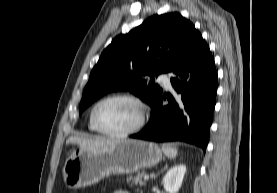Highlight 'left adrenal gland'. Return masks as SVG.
Wrapping results in <instances>:
<instances>
[{"instance_id": "left-adrenal-gland-1", "label": "left adrenal gland", "mask_w": 277, "mask_h": 193, "mask_svg": "<svg viewBox=\"0 0 277 193\" xmlns=\"http://www.w3.org/2000/svg\"><path fill=\"white\" fill-rule=\"evenodd\" d=\"M166 168H167V165H165L163 169L165 170Z\"/></svg>"}]
</instances>
